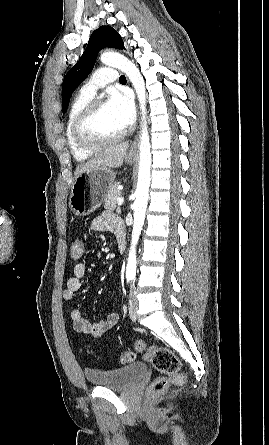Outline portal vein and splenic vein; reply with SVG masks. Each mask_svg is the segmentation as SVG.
I'll use <instances>...</instances> for the list:
<instances>
[{"instance_id":"portal-vein-and-splenic-vein-1","label":"portal vein and splenic vein","mask_w":269,"mask_h":445,"mask_svg":"<svg viewBox=\"0 0 269 445\" xmlns=\"http://www.w3.org/2000/svg\"><path fill=\"white\" fill-rule=\"evenodd\" d=\"M124 203V199L122 198V197H119L118 199H117V204L118 205H122Z\"/></svg>"}]
</instances>
